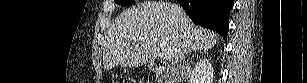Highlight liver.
I'll return each instance as SVG.
<instances>
[{
	"label": "liver",
	"mask_w": 307,
	"mask_h": 83,
	"mask_svg": "<svg viewBox=\"0 0 307 83\" xmlns=\"http://www.w3.org/2000/svg\"><path fill=\"white\" fill-rule=\"evenodd\" d=\"M217 42L215 32L194 25L180 6L146 2L114 20L103 45V63L107 69L153 64L161 46L179 63L188 53L209 50Z\"/></svg>",
	"instance_id": "1"
}]
</instances>
